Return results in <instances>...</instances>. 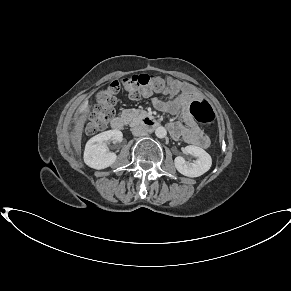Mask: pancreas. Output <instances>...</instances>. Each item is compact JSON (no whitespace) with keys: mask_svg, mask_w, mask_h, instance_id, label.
<instances>
[{"mask_svg":"<svg viewBox=\"0 0 291 291\" xmlns=\"http://www.w3.org/2000/svg\"><path fill=\"white\" fill-rule=\"evenodd\" d=\"M122 116L127 119V122L130 126L137 125L148 116V113L144 110H136V109H126L123 110Z\"/></svg>","mask_w":291,"mask_h":291,"instance_id":"1","label":"pancreas"}]
</instances>
